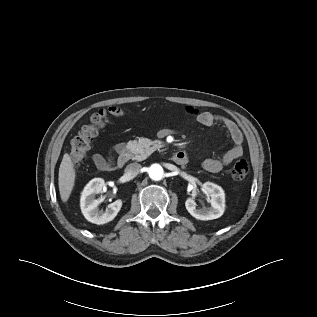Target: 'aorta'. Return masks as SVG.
<instances>
[{
	"mask_svg": "<svg viewBox=\"0 0 317 317\" xmlns=\"http://www.w3.org/2000/svg\"><path fill=\"white\" fill-rule=\"evenodd\" d=\"M164 171L159 164H153L149 168V176L152 180L159 181L163 178Z\"/></svg>",
	"mask_w": 317,
	"mask_h": 317,
	"instance_id": "aorta-1",
	"label": "aorta"
}]
</instances>
